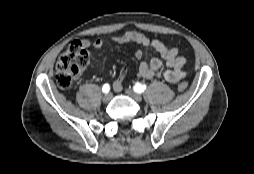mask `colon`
<instances>
[{"label": "colon", "instance_id": "5ec220e1", "mask_svg": "<svg viewBox=\"0 0 254 174\" xmlns=\"http://www.w3.org/2000/svg\"><path fill=\"white\" fill-rule=\"evenodd\" d=\"M89 63V54L82 42L74 41L61 54L56 64L55 81L58 87L67 89L71 86L74 77L79 74ZM187 89V82L178 83V90Z\"/></svg>", "mask_w": 254, "mask_h": 174}]
</instances>
